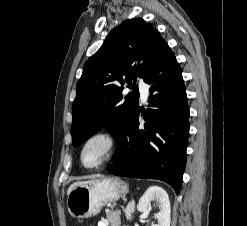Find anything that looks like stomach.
<instances>
[{"label": "stomach", "instance_id": "1", "mask_svg": "<svg viewBox=\"0 0 247 226\" xmlns=\"http://www.w3.org/2000/svg\"><path fill=\"white\" fill-rule=\"evenodd\" d=\"M126 192V185L116 177L96 178L74 186L68 194L67 207L74 217L89 218Z\"/></svg>", "mask_w": 247, "mask_h": 226}]
</instances>
